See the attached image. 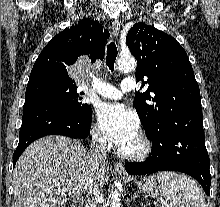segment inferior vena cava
Returning a JSON list of instances; mask_svg holds the SVG:
<instances>
[{
	"label": "inferior vena cava",
	"mask_w": 220,
	"mask_h": 207,
	"mask_svg": "<svg viewBox=\"0 0 220 207\" xmlns=\"http://www.w3.org/2000/svg\"><path fill=\"white\" fill-rule=\"evenodd\" d=\"M106 143L105 135L100 133L93 134V148L89 154V161L93 169H98L100 166L105 165L107 159ZM86 197L85 207H97L100 189L95 183L90 184Z\"/></svg>",
	"instance_id": "inferior-vena-cava-1"
}]
</instances>
